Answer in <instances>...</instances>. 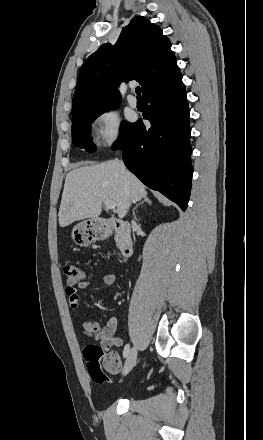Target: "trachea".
I'll return each mask as SVG.
<instances>
[{
  "instance_id": "trachea-1",
  "label": "trachea",
  "mask_w": 263,
  "mask_h": 440,
  "mask_svg": "<svg viewBox=\"0 0 263 440\" xmlns=\"http://www.w3.org/2000/svg\"><path fill=\"white\" fill-rule=\"evenodd\" d=\"M135 91H136V94H137V96L138 97H141V90H140V87H137L136 89H135Z\"/></svg>"
}]
</instances>
